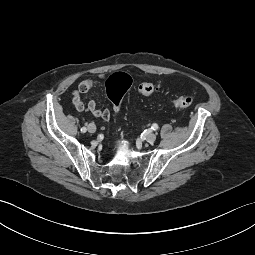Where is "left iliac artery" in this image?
<instances>
[{"mask_svg": "<svg viewBox=\"0 0 255 255\" xmlns=\"http://www.w3.org/2000/svg\"><path fill=\"white\" fill-rule=\"evenodd\" d=\"M154 131L158 129V125L157 124H153L151 127Z\"/></svg>", "mask_w": 255, "mask_h": 255, "instance_id": "obj_1", "label": "left iliac artery"}]
</instances>
